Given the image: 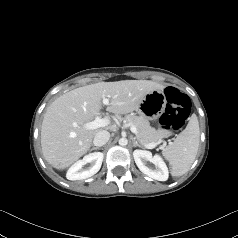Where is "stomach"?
Segmentation results:
<instances>
[{
    "label": "stomach",
    "instance_id": "obj_1",
    "mask_svg": "<svg viewBox=\"0 0 238 238\" xmlns=\"http://www.w3.org/2000/svg\"><path fill=\"white\" fill-rule=\"evenodd\" d=\"M166 105L163 90H154L145 96L137 112L148 120H155L164 113Z\"/></svg>",
    "mask_w": 238,
    "mask_h": 238
}]
</instances>
